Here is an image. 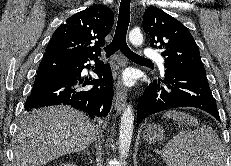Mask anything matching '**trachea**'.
<instances>
[{"mask_svg": "<svg viewBox=\"0 0 231 166\" xmlns=\"http://www.w3.org/2000/svg\"><path fill=\"white\" fill-rule=\"evenodd\" d=\"M130 22V0H121L118 22L115 30V35L112 42L104 47L106 57H110L115 52L120 50L127 58L137 61H150L133 51L128 47L126 43V35Z\"/></svg>", "mask_w": 231, "mask_h": 166, "instance_id": "trachea-1", "label": "trachea"}]
</instances>
